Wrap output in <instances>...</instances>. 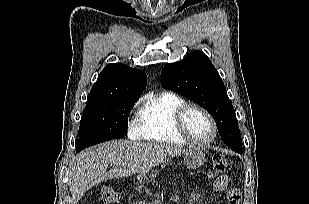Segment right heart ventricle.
<instances>
[{
  "instance_id": "1",
  "label": "right heart ventricle",
  "mask_w": 309,
  "mask_h": 204,
  "mask_svg": "<svg viewBox=\"0 0 309 204\" xmlns=\"http://www.w3.org/2000/svg\"><path fill=\"white\" fill-rule=\"evenodd\" d=\"M185 103L182 97L171 92L148 97L136 120L138 137L160 144L187 143L174 126L175 113Z\"/></svg>"
}]
</instances>
